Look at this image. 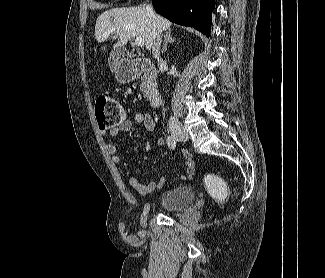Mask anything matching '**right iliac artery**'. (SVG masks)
I'll return each mask as SVG.
<instances>
[{"label": "right iliac artery", "mask_w": 325, "mask_h": 278, "mask_svg": "<svg viewBox=\"0 0 325 278\" xmlns=\"http://www.w3.org/2000/svg\"><path fill=\"white\" fill-rule=\"evenodd\" d=\"M167 144L171 149H175L176 148V142L174 140V138L168 136L167 138Z\"/></svg>", "instance_id": "82829eb1"}]
</instances>
